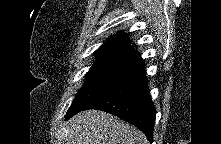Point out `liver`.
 <instances>
[{"mask_svg":"<svg viewBox=\"0 0 221 144\" xmlns=\"http://www.w3.org/2000/svg\"><path fill=\"white\" fill-rule=\"evenodd\" d=\"M67 144H149L145 135L117 117L82 111L68 121Z\"/></svg>","mask_w":221,"mask_h":144,"instance_id":"1","label":"liver"}]
</instances>
